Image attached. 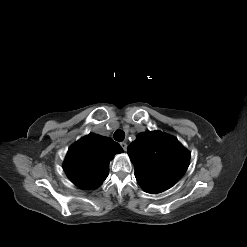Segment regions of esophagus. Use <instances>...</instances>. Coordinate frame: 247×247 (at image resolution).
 <instances>
[{"instance_id":"1","label":"esophagus","mask_w":247,"mask_h":247,"mask_svg":"<svg viewBox=\"0 0 247 247\" xmlns=\"http://www.w3.org/2000/svg\"><path fill=\"white\" fill-rule=\"evenodd\" d=\"M120 145H121V147H122V149H123L124 151L127 150V143H126V142H121Z\"/></svg>"}]
</instances>
